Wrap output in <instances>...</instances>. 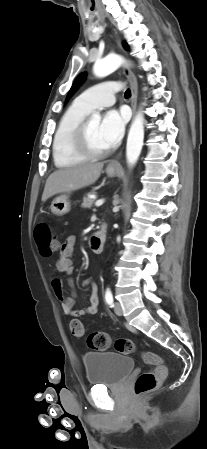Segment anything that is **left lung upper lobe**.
<instances>
[{
  "label": "left lung upper lobe",
  "instance_id": "obj_1",
  "mask_svg": "<svg viewBox=\"0 0 207 449\" xmlns=\"http://www.w3.org/2000/svg\"><path fill=\"white\" fill-rule=\"evenodd\" d=\"M124 47L127 48L126 43H124ZM84 78H85V73H82L75 79L70 91L68 92L66 101L74 94V92L77 90L78 86L84 81Z\"/></svg>",
  "mask_w": 207,
  "mask_h": 449
}]
</instances>
